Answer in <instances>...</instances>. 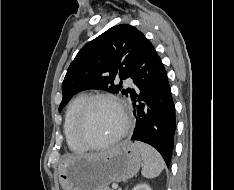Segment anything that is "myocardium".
Instances as JSON below:
<instances>
[{
    "label": "myocardium",
    "instance_id": "obj_1",
    "mask_svg": "<svg viewBox=\"0 0 234 190\" xmlns=\"http://www.w3.org/2000/svg\"><path fill=\"white\" fill-rule=\"evenodd\" d=\"M99 101H107L112 104H114L118 110L120 111L122 118H123V125L121 129L110 139L101 142V143H92L84 134V126L85 121L88 115V112L91 108V106ZM131 127V118L128 112L127 107L125 104L117 97L101 93V94H95L88 96L85 102L83 103L82 107L80 108V111L77 116L76 124H75V135L78 141L85 146L87 149H100L107 147L109 145H112L119 141L122 137L126 135V133L129 131Z\"/></svg>",
    "mask_w": 234,
    "mask_h": 190
}]
</instances>
